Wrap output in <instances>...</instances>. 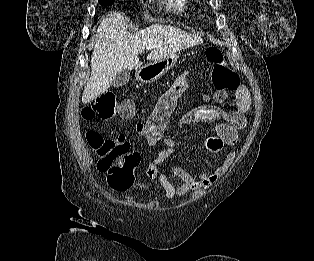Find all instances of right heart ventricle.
<instances>
[{"label": "right heart ventricle", "instance_id": "1", "mask_svg": "<svg viewBox=\"0 0 314 261\" xmlns=\"http://www.w3.org/2000/svg\"><path fill=\"white\" fill-rule=\"evenodd\" d=\"M190 2V0H162V5L169 10L183 12L189 7Z\"/></svg>", "mask_w": 314, "mask_h": 261}]
</instances>
